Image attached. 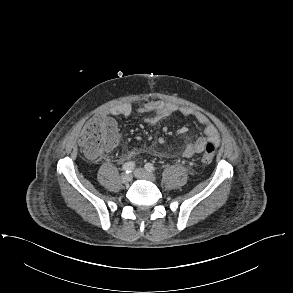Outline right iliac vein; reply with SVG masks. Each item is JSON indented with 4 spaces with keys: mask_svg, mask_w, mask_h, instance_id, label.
I'll use <instances>...</instances> for the list:
<instances>
[{
    "mask_svg": "<svg viewBox=\"0 0 293 293\" xmlns=\"http://www.w3.org/2000/svg\"><path fill=\"white\" fill-rule=\"evenodd\" d=\"M121 180L123 183H129L132 180V175L129 173H124L121 176Z\"/></svg>",
    "mask_w": 293,
    "mask_h": 293,
    "instance_id": "right-iliac-vein-1",
    "label": "right iliac vein"
}]
</instances>
